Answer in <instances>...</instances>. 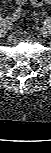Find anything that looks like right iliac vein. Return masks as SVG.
Returning <instances> with one entry per match:
<instances>
[{"instance_id": "63e3f726", "label": "right iliac vein", "mask_w": 51, "mask_h": 153, "mask_svg": "<svg viewBox=\"0 0 51 153\" xmlns=\"http://www.w3.org/2000/svg\"><path fill=\"white\" fill-rule=\"evenodd\" d=\"M2 25L6 26V24H3V23H2ZM1 33L2 34L5 33V29H1Z\"/></svg>"}]
</instances>
